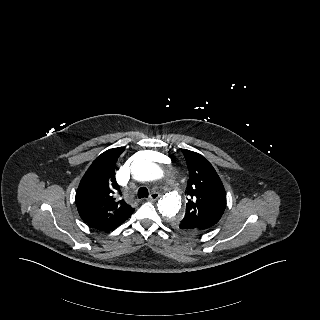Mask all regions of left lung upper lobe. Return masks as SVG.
<instances>
[{
  "label": "left lung upper lobe",
  "mask_w": 320,
  "mask_h": 320,
  "mask_svg": "<svg viewBox=\"0 0 320 320\" xmlns=\"http://www.w3.org/2000/svg\"><path fill=\"white\" fill-rule=\"evenodd\" d=\"M189 168V180L185 193L188 203L183 218L176 222L187 223L202 232L214 226L226 207V193L221 179L210 162L202 155L182 150Z\"/></svg>",
  "instance_id": "left-lung-upper-lobe-1"
}]
</instances>
